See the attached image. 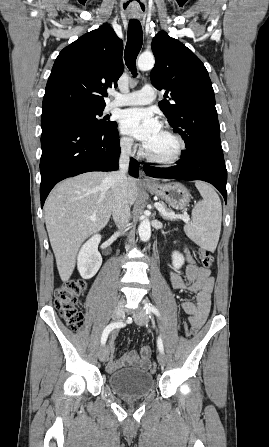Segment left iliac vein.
<instances>
[{"instance_id":"4c4485c4","label":"left iliac vein","mask_w":269,"mask_h":447,"mask_svg":"<svg viewBox=\"0 0 269 447\" xmlns=\"http://www.w3.org/2000/svg\"><path fill=\"white\" fill-rule=\"evenodd\" d=\"M134 321L137 325L143 326L148 323V314L142 309H138L134 314ZM157 360L161 366H165L167 363V358L163 352L157 355Z\"/></svg>"}]
</instances>
